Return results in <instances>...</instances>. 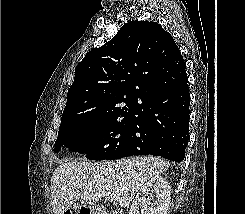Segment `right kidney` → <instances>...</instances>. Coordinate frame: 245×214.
I'll return each mask as SVG.
<instances>
[{
    "label": "right kidney",
    "mask_w": 245,
    "mask_h": 214,
    "mask_svg": "<svg viewBox=\"0 0 245 214\" xmlns=\"http://www.w3.org/2000/svg\"><path fill=\"white\" fill-rule=\"evenodd\" d=\"M171 187L160 175L151 177L139 190L129 210V214H167ZM151 198L155 200L151 202Z\"/></svg>",
    "instance_id": "1"
}]
</instances>
